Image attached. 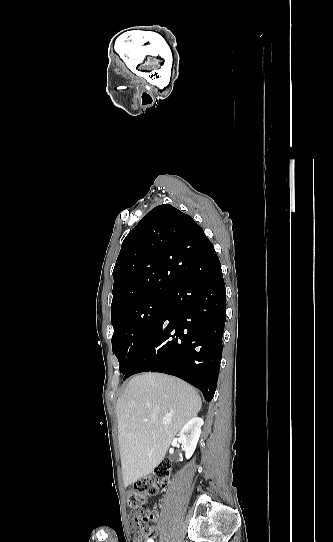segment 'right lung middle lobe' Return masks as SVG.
Wrapping results in <instances>:
<instances>
[{"label": "right lung middle lobe", "mask_w": 333, "mask_h": 542, "mask_svg": "<svg viewBox=\"0 0 333 542\" xmlns=\"http://www.w3.org/2000/svg\"><path fill=\"white\" fill-rule=\"evenodd\" d=\"M167 303L168 293H164L150 301L126 307L111 317L114 328L112 349L122 374L129 369L139 348L165 311Z\"/></svg>", "instance_id": "right-lung-middle-lobe-1"}]
</instances>
